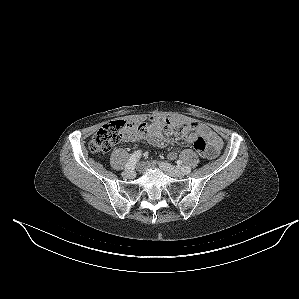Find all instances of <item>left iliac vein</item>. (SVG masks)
I'll return each mask as SVG.
<instances>
[{
	"mask_svg": "<svg viewBox=\"0 0 299 299\" xmlns=\"http://www.w3.org/2000/svg\"><path fill=\"white\" fill-rule=\"evenodd\" d=\"M159 167L171 177H182L184 175L183 172L167 162H160Z\"/></svg>",
	"mask_w": 299,
	"mask_h": 299,
	"instance_id": "obj_1",
	"label": "left iliac vein"
}]
</instances>
